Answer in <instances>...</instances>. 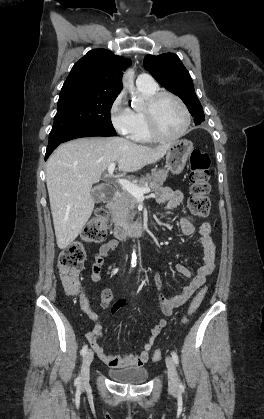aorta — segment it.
<instances>
[{
    "label": "aorta",
    "instance_id": "obj_1",
    "mask_svg": "<svg viewBox=\"0 0 264 419\" xmlns=\"http://www.w3.org/2000/svg\"><path fill=\"white\" fill-rule=\"evenodd\" d=\"M123 86L125 88H128L130 93L133 95L134 92V70L132 69H128L125 71L124 75H123V80H122ZM142 103L141 99H135L134 100V106H139ZM136 262H137V256L135 251H133L132 253V260H131V264L132 266H136Z\"/></svg>",
    "mask_w": 264,
    "mask_h": 419
}]
</instances>
